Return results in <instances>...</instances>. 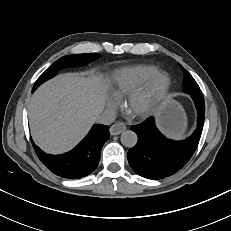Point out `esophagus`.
<instances>
[{
  "label": "esophagus",
  "instance_id": "34e87169",
  "mask_svg": "<svg viewBox=\"0 0 231 231\" xmlns=\"http://www.w3.org/2000/svg\"><path fill=\"white\" fill-rule=\"evenodd\" d=\"M126 129V125L122 122H117L113 124L109 131L111 135H119Z\"/></svg>",
  "mask_w": 231,
  "mask_h": 231
}]
</instances>
